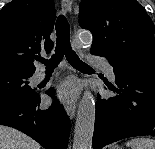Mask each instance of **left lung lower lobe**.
<instances>
[{
  "label": "left lung lower lobe",
  "mask_w": 155,
  "mask_h": 149,
  "mask_svg": "<svg viewBox=\"0 0 155 149\" xmlns=\"http://www.w3.org/2000/svg\"><path fill=\"white\" fill-rule=\"evenodd\" d=\"M108 59L120 89L114 97L96 103L93 149L134 137L155 136V56H110L91 51ZM123 88V89H122Z\"/></svg>",
  "instance_id": "obj_1"
}]
</instances>
